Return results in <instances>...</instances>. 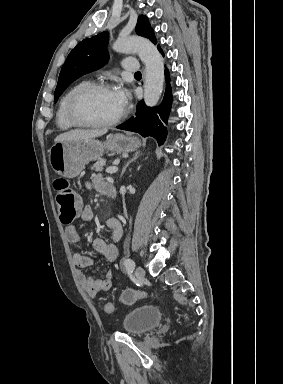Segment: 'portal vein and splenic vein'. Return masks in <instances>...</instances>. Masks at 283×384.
<instances>
[{"label":"portal vein and splenic vein","mask_w":283,"mask_h":384,"mask_svg":"<svg viewBox=\"0 0 283 384\" xmlns=\"http://www.w3.org/2000/svg\"><path fill=\"white\" fill-rule=\"evenodd\" d=\"M116 166L117 164H115V166H112V168H107V174H115V172H118V168H116Z\"/></svg>","instance_id":"1"}]
</instances>
